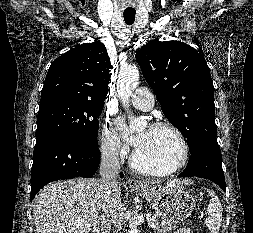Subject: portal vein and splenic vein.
I'll use <instances>...</instances> for the list:
<instances>
[{
	"label": "portal vein and splenic vein",
	"mask_w": 253,
	"mask_h": 233,
	"mask_svg": "<svg viewBox=\"0 0 253 233\" xmlns=\"http://www.w3.org/2000/svg\"><path fill=\"white\" fill-rule=\"evenodd\" d=\"M148 226L151 227V228H155L156 224L152 220H150L149 223H148Z\"/></svg>",
	"instance_id": "obj_1"
}]
</instances>
